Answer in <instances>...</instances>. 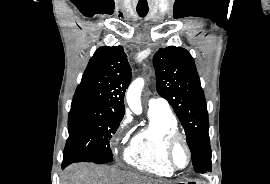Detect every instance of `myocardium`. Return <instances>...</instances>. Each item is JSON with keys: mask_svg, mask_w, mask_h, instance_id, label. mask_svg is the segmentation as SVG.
<instances>
[{"mask_svg": "<svg viewBox=\"0 0 270 184\" xmlns=\"http://www.w3.org/2000/svg\"><path fill=\"white\" fill-rule=\"evenodd\" d=\"M178 143H182L187 152V163L184 167H178L173 160V151ZM165 160L173 171H181L187 169L192 161V151L186 137L179 131L172 132L168 135L165 142Z\"/></svg>", "mask_w": 270, "mask_h": 184, "instance_id": "1", "label": "myocardium"}]
</instances>
